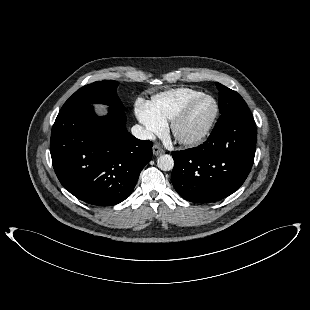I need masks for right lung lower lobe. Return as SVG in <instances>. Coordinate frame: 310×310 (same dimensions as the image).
Masks as SVG:
<instances>
[{
    "instance_id": "1",
    "label": "right lung lower lobe",
    "mask_w": 310,
    "mask_h": 310,
    "mask_svg": "<svg viewBox=\"0 0 310 310\" xmlns=\"http://www.w3.org/2000/svg\"><path fill=\"white\" fill-rule=\"evenodd\" d=\"M125 123L124 111L110 108L99 117L91 104L58 114L50 141L52 164L61 184L78 199L111 206L132 193L151 160L152 142L135 138Z\"/></svg>"
}]
</instances>
